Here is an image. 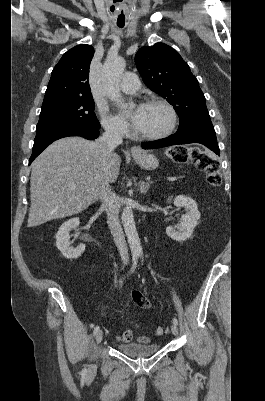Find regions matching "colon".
Listing matches in <instances>:
<instances>
[{
  "label": "colon",
  "instance_id": "5ec220e1",
  "mask_svg": "<svg viewBox=\"0 0 265 401\" xmlns=\"http://www.w3.org/2000/svg\"><path fill=\"white\" fill-rule=\"evenodd\" d=\"M167 156L176 162L192 161L200 170L205 172L207 182L211 187L220 186L222 176L219 163L207 152L195 147L176 146L167 150ZM164 332L163 327H157V335H163Z\"/></svg>",
  "mask_w": 265,
  "mask_h": 401
}]
</instances>
